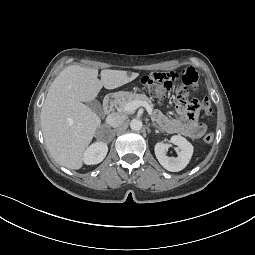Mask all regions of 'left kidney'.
<instances>
[{
    "label": "left kidney",
    "mask_w": 255,
    "mask_h": 255,
    "mask_svg": "<svg viewBox=\"0 0 255 255\" xmlns=\"http://www.w3.org/2000/svg\"><path fill=\"white\" fill-rule=\"evenodd\" d=\"M170 142L177 145L180 149L177 157H168L166 155V145L163 142H157L155 145V155L159 163L168 171L178 172L184 169L189 163L192 154L193 146L181 135H174Z\"/></svg>",
    "instance_id": "1"
}]
</instances>
